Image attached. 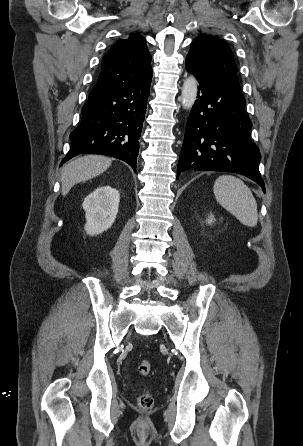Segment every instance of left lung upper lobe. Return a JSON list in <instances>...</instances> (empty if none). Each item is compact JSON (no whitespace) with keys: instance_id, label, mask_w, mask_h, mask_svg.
I'll return each mask as SVG.
<instances>
[{"instance_id":"obj_1","label":"left lung upper lobe","mask_w":303,"mask_h":446,"mask_svg":"<svg viewBox=\"0 0 303 446\" xmlns=\"http://www.w3.org/2000/svg\"><path fill=\"white\" fill-rule=\"evenodd\" d=\"M186 61L241 92L233 53L228 45L217 37L203 34L194 39Z\"/></svg>"}]
</instances>
